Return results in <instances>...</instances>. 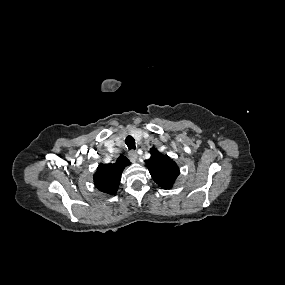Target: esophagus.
<instances>
[{"label":"esophagus","instance_id":"1","mask_svg":"<svg viewBox=\"0 0 285 285\" xmlns=\"http://www.w3.org/2000/svg\"><path fill=\"white\" fill-rule=\"evenodd\" d=\"M128 157H129L131 162H136L137 158H138V155H137V153L134 150H131L128 153Z\"/></svg>","mask_w":285,"mask_h":285}]
</instances>
